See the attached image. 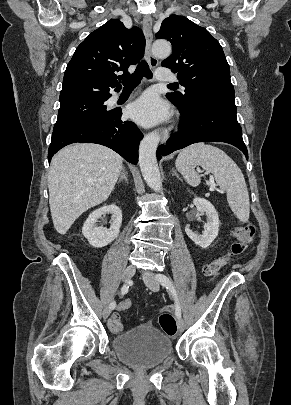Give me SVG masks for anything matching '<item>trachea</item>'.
I'll return each mask as SVG.
<instances>
[{
    "instance_id": "1",
    "label": "trachea",
    "mask_w": 291,
    "mask_h": 405,
    "mask_svg": "<svg viewBox=\"0 0 291 405\" xmlns=\"http://www.w3.org/2000/svg\"><path fill=\"white\" fill-rule=\"evenodd\" d=\"M152 76L153 75L149 68V65L145 60H143L138 64L135 72L128 79L122 82L124 85V89L135 88L141 83L143 77L151 79ZM169 86H175V84H169Z\"/></svg>"
}]
</instances>
